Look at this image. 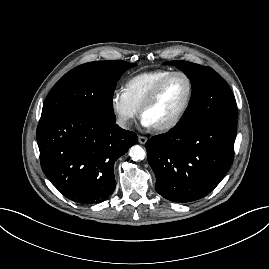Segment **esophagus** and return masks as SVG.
<instances>
[{
	"instance_id": "obj_1",
	"label": "esophagus",
	"mask_w": 269,
	"mask_h": 269,
	"mask_svg": "<svg viewBox=\"0 0 269 269\" xmlns=\"http://www.w3.org/2000/svg\"><path fill=\"white\" fill-rule=\"evenodd\" d=\"M147 137H144V136H139L138 137V141L140 144H145L147 142Z\"/></svg>"
}]
</instances>
